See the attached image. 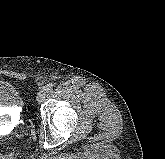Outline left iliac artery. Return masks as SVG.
Segmentation results:
<instances>
[{
    "instance_id": "1",
    "label": "left iliac artery",
    "mask_w": 165,
    "mask_h": 159,
    "mask_svg": "<svg viewBox=\"0 0 165 159\" xmlns=\"http://www.w3.org/2000/svg\"><path fill=\"white\" fill-rule=\"evenodd\" d=\"M52 89H53V84H48L47 86L44 87V90H45L46 92H49V91H51Z\"/></svg>"
}]
</instances>
